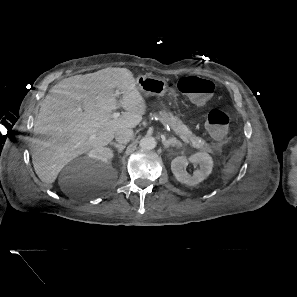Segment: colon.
Here are the masks:
<instances>
[{
    "label": "colon",
    "instance_id": "1",
    "mask_svg": "<svg viewBox=\"0 0 297 297\" xmlns=\"http://www.w3.org/2000/svg\"><path fill=\"white\" fill-rule=\"evenodd\" d=\"M178 89L198 101H203L213 95L215 86L210 80L195 76H186L178 81ZM228 123V115L218 109L211 110L206 120L209 133L217 140H224L226 138Z\"/></svg>",
    "mask_w": 297,
    "mask_h": 297
}]
</instances>
